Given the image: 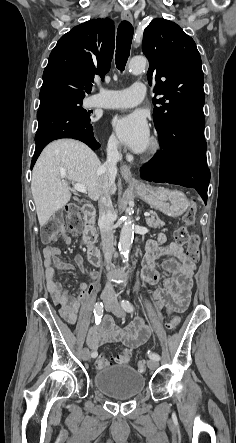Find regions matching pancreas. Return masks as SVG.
Returning a JSON list of instances; mask_svg holds the SVG:
<instances>
[{
  "instance_id": "cf45deb5",
  "label": "pancreas",
  "mask_w": 236,
  "mask_h": 443,
  "mask_svg": "<svg viewBox=\"0 0 236 443\" xmlns=\"http://www.w3.org/2000/svg\"><path fill=\"white\" fill-rule=\"evenodd\" d=\"M146 223L151 228H162L165 225V223L157 218L155 215L150 218H146Z\"/></svg>"
}]
</instances>
